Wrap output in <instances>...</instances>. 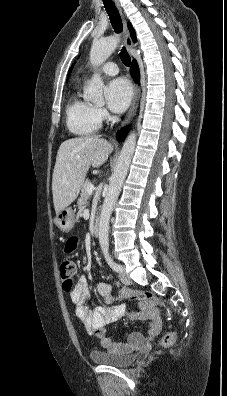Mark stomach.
Returning a JSON list of instances; mask_svg holds the SVG:
<instances>
[{"label":"stomach","instance_id":"0dacf381","mask_svg":"<svg viewBox=\"0 0 227 396\" xmlns=\"http://www.w3.org/2000/svg\"><path fill=\"white\" fill-rule=\"evenodd\" d=\"M55 225L62 231H69L74 225V213L71 208L59 212L54 218Z\"/></svg>","mask_w":227,"mask_h":396}]
</instances>
